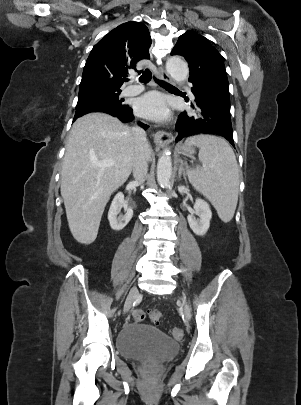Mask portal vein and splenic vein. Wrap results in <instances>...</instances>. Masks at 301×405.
<instances>
[{
  "label": "portal vein and splenic vein",
  "mask_w": 301,
  "mask_h": 405,
  "mask_svg": "<svg viewBox=\"0 0 301 405\" xmlns=\"http://www.w3.org/2000/svg\"><path fill=\"white\" fill-rule=\"evenodd\" d=\"M115 163L114 160H104L98 163V166L100 167H108V166H113Z\"/></svg>",
  "instance_id": "obj_1"
}]
</instances>
